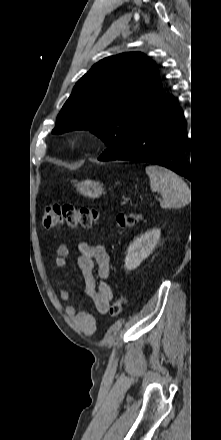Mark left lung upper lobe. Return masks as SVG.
Segmentation results:
<instances>
[{
  "label": "left lung upper lobe",
  "mask_w": 221,
  "mask_h": 440,
  "mask_svg": "<svg viewBox=\"0 0 221 440\" xmlns=\"http://www.w3.org/2000/svg\"><path fill=\"white\" fill-rule=\"evenodd\" d=\"M163 94L156 64L142 53H122L96 63L75 85L53 134L90 130L107 145L102 161L129 145L140 117Z\"/></svg>",
  "instance_id": "obj_1"
}]
</instances>
